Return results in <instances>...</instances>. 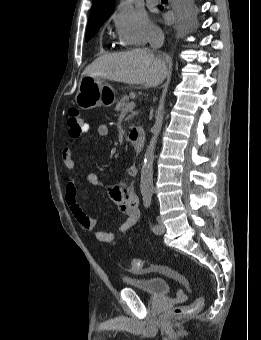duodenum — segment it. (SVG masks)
Masks as SVG:
<instances>
[{"label": "duodenum", "instance_id": "duodenum-1", "mask_svg": "<svg viewBox=\"0 0 261 340\" xmlns=\"http://www.w3.org/2000/svg\"><path fill=\"white\" fill-rule=\"evenodd\" d=\"M145 140V134L143 129L136 128L130 131L129 133V141L135 151L140 152L143 149Z\"/></svg>", "mask_w": 261, "mask_h": 340}]
</instances>
